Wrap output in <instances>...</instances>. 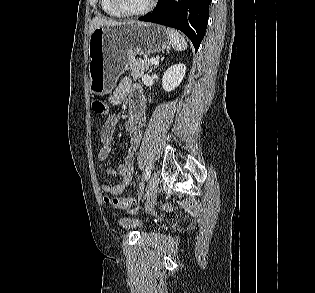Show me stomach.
Wrapping results in <instances>:
<instances>
[{
  "label": "stomach",
  "mask_w": 315,
  "mask_h": 293,
  "mask_svg": "<svg viewBox=\"0 0 315 293\" xmlns=\"http://www.w3.org/2000/svg\"><path fill=\"white\" fill-rule=\"evenodd\" d=\"M170 47L166 29L137 21L116 26H99L89 38V88L95 95L110 93L119 76L128 69V60Z\"/></svg>",
  "instance_id": "stomach-1"
}]
</instances>
